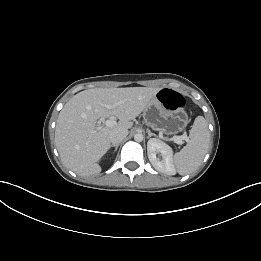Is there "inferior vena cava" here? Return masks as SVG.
Returning <instances> with one entry per match:
<instances>
[{"mask_svg": "<svg viewBox=\"0 0 261 261\" xmlns=\"http://www.w3.org/2000/svg\"><path fill=\"white\" fill-rule=\"evenodd\" d=\"M128 135L127 129H115L109 135L112 144H119Z\"/></svg>", "mask_w": 261, "mask_h": 261, "instance_id": "602c4592", "label": "inferior vena cava"}]
</instances>
